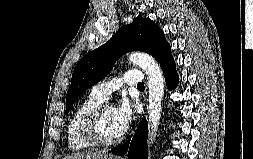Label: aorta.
<instances>
[{"label": "aorta", "mask_w": 253, "mask_h": 159, "mask_svg": "<svg viewBox=\"0 0 253 159\" xmlns=\"http://www.w3.org/2000/svg\"><path fill=\"white\" fill-rule=\"evenodd\" d=\"M133 64L140 66L148 79V144L151 145L156 137L162 112L165 81L157 61L148 54L134 52L128 56Z\"/></svg>", "instance_id": "1"}]
</instances>
